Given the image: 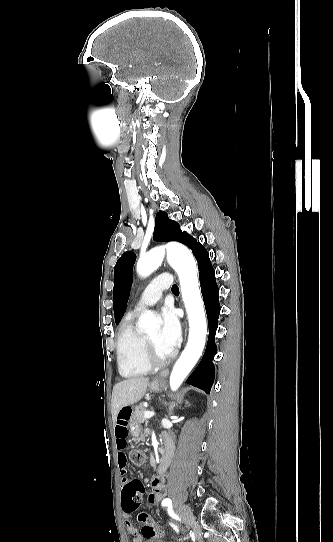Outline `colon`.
Segmentation results:
<instances>
[{
  "instance_id": "colon-1",
  "label": "colon",
  "mask_w": 333,
  "mask_h": 542,
  "mask_svg": "<svg viewBox=\"0 0 333 542\" xmlns=\"http://www.w3.org/2000/svg\"><path fill=\"white\" fill-rule=\"evenodd\" d=\"M129 457L133 465L140 467L144 464L147 454L143 450H136L133 451ZM122 491L124 499L126 501L130 500L124 504L123 513L129 516L128 514L132 512L133 514L131 516H139L138 521L140 524H143L141 531L145 537L148 539H159L161 536L159 529L154 525H151L153 523V518L149 516L147 510L139 509V500L141 499V495L144 491L142 482L132 481L128 487H122Z\"/></svg>"
}]
</instances>
